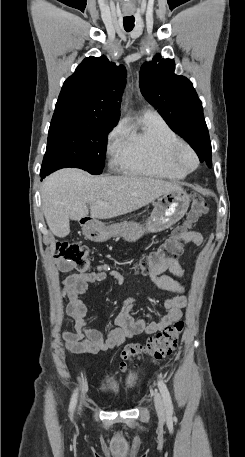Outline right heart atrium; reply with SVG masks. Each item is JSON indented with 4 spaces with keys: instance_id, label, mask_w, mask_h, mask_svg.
<instances>
[{
    "instance_id": "obj_1",
    "label": "right heart atrium",
    "mask_w": 245,
    "mask_h": 457,
    "mask_svg": "<svg viewBox=\"0 0 245 457\" xmlns=\"http://www.w3.org/2000/svg\"><path fill=\"white\" fill-rule=\"evenodd\" d=\"M124 135V127L122 122L119 121L112 129L109 131L107 135V145L110 150L115 149L117 146L121 145Z\"/></svg>"
}]
</instances>
